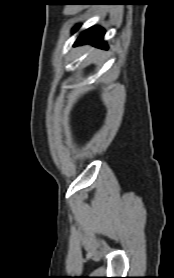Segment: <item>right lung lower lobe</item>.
<instances>
[{
    "instance_id": "98d812e1",
    "label": "right lung lower lobe",
    "mask_w": 174,
    "mask_h": 278,
    "mask_svg": "<svg viewBox=\"0 0 174 278\" xmlns=\"http://www.w3.org/2000/svg\"><path fill=\"white\" fill-rule=\"evenodd\" d=\"M78 28L76 27L74 31H76ZM103 36H104V30L100 27H91L84 31L79 38L77 39L75 45L79 44H93L98 45V47L101 48H107V45L105 42H103Z\"/></svg>"
}]
</instances>
